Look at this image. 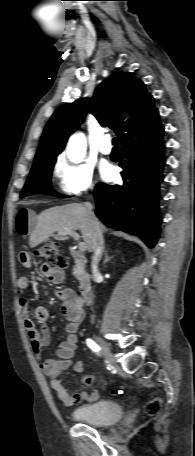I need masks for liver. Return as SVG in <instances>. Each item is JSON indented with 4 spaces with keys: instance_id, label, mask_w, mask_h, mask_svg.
I'll use <instances>...</instances> for the list:
<instances>
[{
    "instance_id": "1",
    "label": "liver",
    "mask_w": 195,
    "mask_h": 456,
    "mask_svg": "<svg viewBox=\"0 0 195 456\" xmlns=\"http://www.w3.org/2000/svg\"><path fill=\"white\" fill-rule=\"evenodd\" d=\"M101 231L106 228L99 223ZM80 230L87 250L93 251L95 228L86 206L71 203L63 206L51 207L42 211L36 219L34 229L30 233L29 245L37 247L50 237L67 239L66 231Z\"/></svg>"
}]
</instances>
